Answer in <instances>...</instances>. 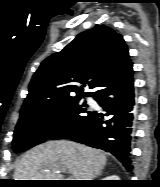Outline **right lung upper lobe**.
<instances>
[{"label":"right lung upper lobe","instance_id":"right-lung-upper-lobe-1","mask_svg":"<svg viewBox=\"0 0 160 187\" xmlns=\"http://www.w3.org/2000/svg\"><path fill=\"white\" fill-rule=\"evenodd\" d=\"M131 63L123 37L113 29L98 25L84 31L41 63L30 82L21 113L94 96ZM85 86L94 92L84 93Z\"/></svg>","mask_w":160,"mask_h":187}]
</instances>
